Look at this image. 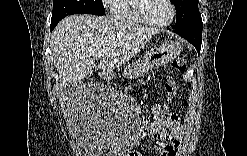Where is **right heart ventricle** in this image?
<instances>
[{"label": "right heart ventricle", "instance_id": "e07e8e85", "mask_svg": "<svg viewBox=\"0 0 247 156\" xmlns=\"http://www.w3.org/2000/svg\"><path fill=\"white\" fill-rule=\"evenodd\" d=\"M135 0L115 1L111 7L112 15L119 21L126 23H143L135 10Z\"/></svg>", "mask_w": 247, "mask_h": 156}]
</instances>
